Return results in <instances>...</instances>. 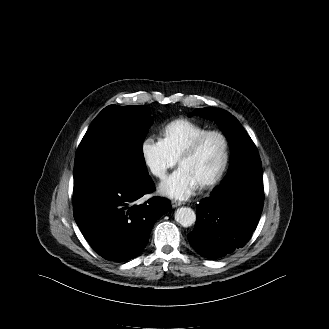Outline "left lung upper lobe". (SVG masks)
Listing matches in <instances>:
<instances>
[{
	"label": "left lung upper lobe",
	"mask_w": 329,
	"mask_h": 329,
	"mask_svg": "<svg viewBox=\"0 0 329 329\" xmlns=\"http://www.w3.org/2000/svg\"><path fill=\"white\" fill-rule=\"evenodd\" d=\"M192 114L216 120L221 125V129L227 136L232 150L231 163L227 175L232 173L238 163L261 162L257 148L250 136L239 121L229 112L220 108L206 107L195 109ZM221 185L214 190L212 197L218 198L222 195Z\"/></svg>",
	"instance_id": "left-lung-upper-lobe-1"
}]
</instances>
